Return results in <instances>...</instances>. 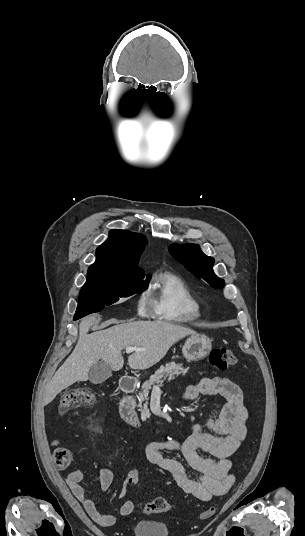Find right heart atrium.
Segmentation results:
<instances>
[{
  "instance_id": "obj_1",
  "label": "right heart atrium",
  "mask_w": 305,
  "mask_h": 536,
  "mask_svg": "<svg viewBox=\"0 0 305 536\" xmlns=\"http://www.w3.org/2000/svg\"><path fill=\"white\" fill-rule=\"evenodd\" d=\"M137 310L140 315H147L150 312L148 298L145 293H141L137 299Z\"/></svg>"
}]
</instances>
